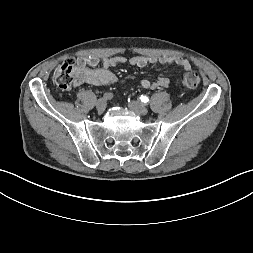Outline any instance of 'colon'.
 <instances>
[{
    "mask_svg": "<svg viewBox=\"0 0 253 253\" xmlns=\"http://www.w3.org/2000/svg\"><path fill=\"white\" fill-rule=\"evenodd\" d=\"M80 70L74 58H66L56 69L53 82L62 90H71L75 83V74ZM181 83L187 89L196 88L200 83V75L197 72H187L182 75Z\"/></svg>",
    "mask_w": 253,
    "mask_h": 253,
    "instance_id": "5ec220e1",
    "label": "colon"
}]
</instances>
